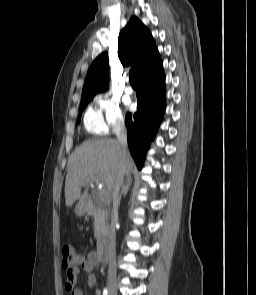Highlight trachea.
Instances as JSON below:
<instances>
[{"mask_svg":"<svg viewBox=\"0 0 256 295\" xmlns=\"http://www.w3.org/2000/svg\"><path fill=\"white\" fill-rule=\"evenodd\" d=\"M129 81H130V83H131L132 85H136L135 77H134L133 74H131V75L129 76Z\"/></svg>","mask_w":256,"mask_h":295,"instance_id":"3493384b","label":"trachea"}]
</instances>
